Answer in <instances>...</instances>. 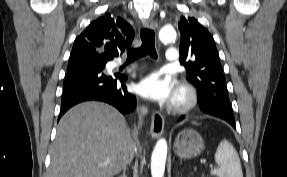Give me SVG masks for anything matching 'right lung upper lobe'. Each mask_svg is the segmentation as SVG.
<instances>
[{
	"label": "right lung upper lobe",
	"instance_id": "cb5924a9",
	"mask_svg": "<svg viewBox=\"0 0 287 177\" xmlns=\"http://www.w3.org/2000/svg\"><path fill=\"white\" fill-rule=\"evenodd\" d=\"M134 30L122 18L105 14L93 21L76 39L69 61L88 56L112 60L134 39Z\"/></svg>",
	"mask_w": 287,
	"mask_h": 177
}]
</instances>
